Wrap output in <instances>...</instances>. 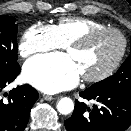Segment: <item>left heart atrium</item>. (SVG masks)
<instances>
[{"instance_id":"left-heart-atrium-1","label":"left heart atrium","mask_w":131,"mask_h":131,"mask_svg":"<svg viewBox=\"0 0 131 131\" xmlns=\"http://www.w3.org/2000/svg\"><path fill=\"white\" fill-rule=\"evenodd\" d=\"M75 60L68 54H50L31 58L23 68L26 82L46 93L74 87L80 78Z\"/></svg>"}]
</instances>
